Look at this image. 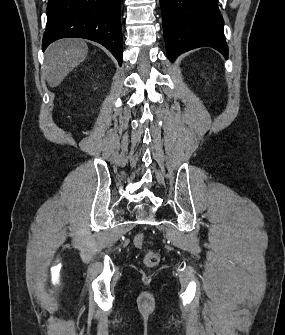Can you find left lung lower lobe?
Returning <instances> with one entry per match:
<instances>
[{
  "label": "left lung lower lobe",
  "mask_w": 285,
  "mask_h": 335,
  "mask_svg": "<svg viewBox=\"0 0 285 335\" xmlns=\"http://www.w3.org/2000/svg\"><path fill=\"white\" fill-rule=\"evenodd\" d=\"M218 0H160L167 57L171 62L198 47H212L228 58Z\"/></svg>",
  "instance_id": "1"
}]
</instances>
